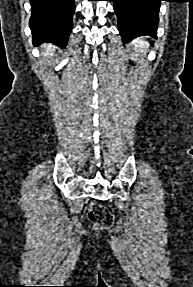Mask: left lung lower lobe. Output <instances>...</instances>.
<instances>
[{
  "mask_svg": "<svg viewBox=\"0 0 193 287\" xmlns=\"http://www.w3.org/2000/svg\"><path fill=\"white\" fill-rule=\"evenodd\" d=\"M118 18V29L124 42L149 35L156 36L159 8L164 0H110Z\"/></svg>",
  "mask_w": 193,
  "mask_h": 287,
  "instance_id": "1",
  "label": "left lung lower lobe"
}]
</instances>
